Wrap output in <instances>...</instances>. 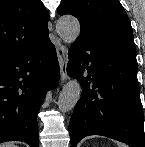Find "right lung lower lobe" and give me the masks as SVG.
<instances>
[{
  "label": "right lung lower lobe",
  "mask_w": 145,
  "mask_h": 147,
  "mask_svg": "<svg viewBox=\"0 0 145 147\" xmlns=\"http://www.w3.org/2000/svg\"><path fill=\"white\" fill-rule=\"evenodd\" d=\"M59 75L49 38L0 61V143L24 141L38 147L37 114Z\"/></svg>",
  "instance_id": "98d812e1"
}]
</instances>
